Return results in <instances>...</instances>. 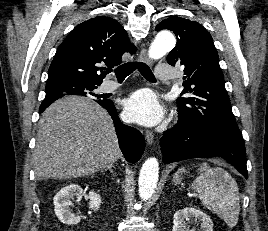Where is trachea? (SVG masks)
I'll use <instances>...</instances> for the list:
<instances>
[{
  "mask_svg": "<svg viewBox=\"0 0 268 231\" xmlns=\"http://www.w3.org/2000/svg\"><path fill=\"white\" fill-rule=\"evenodd\" d=\"M136 68L140 71L141 75L150 81H155V77L149 68L143 62H128L115 69V74L117 78H126L130 75Z\"/></svg>",
  "mask_w": 268,
  "mask_h": 231,
  "instance_id": "1",
  "label": "trachea"
}]
</instances>
